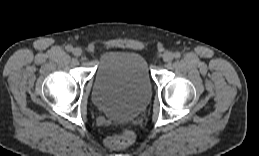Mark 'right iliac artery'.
<instances>
[{"instance_id": "1", "label": "right iliac artery", "mask_w": 259, "mask_h": 156, "mask_svg": "<svg viewBox=\"0 0 259 156\" xmlns=\"http://www.w3.org/2000/svg\"><path fill=\"white\" fill-rule=\"evenodd\" d=\"M66 50H67L68 52H71V51H73V47H72L71 45H67V46H66Z\"/></svg>"}]
</instances>
